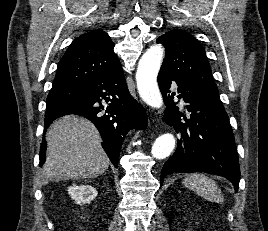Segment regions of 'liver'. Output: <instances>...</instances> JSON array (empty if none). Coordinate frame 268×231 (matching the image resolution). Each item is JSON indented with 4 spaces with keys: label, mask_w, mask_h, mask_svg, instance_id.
Here are the masks:
<instances>
[{
    "label": "liver",
    "mask_w": 268,
    "mask_h": 231,
    "mask_svg": "<svg viewBox=\"0 0 268 231\" xmlns=\"http://www.w3.org/2000/svg\"><path fill=\"white\" fill-rule=\"evenodd\" d=\"M46 142L42 173L47 180L96 178L109 166L101 137L85 118L75 115L59 118L49 127Z\"/></svg>",
    "instance_id": "liver-1"
}]
</instances>
